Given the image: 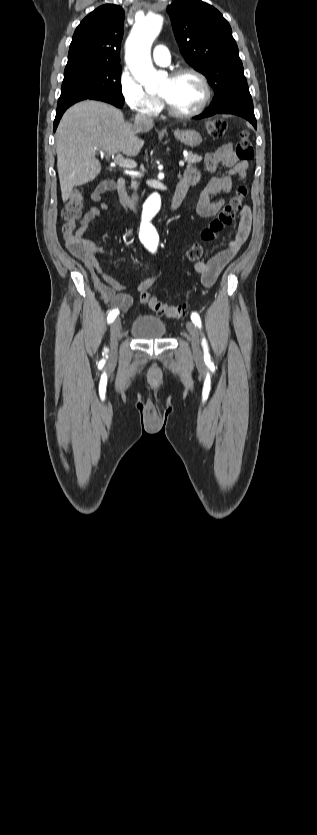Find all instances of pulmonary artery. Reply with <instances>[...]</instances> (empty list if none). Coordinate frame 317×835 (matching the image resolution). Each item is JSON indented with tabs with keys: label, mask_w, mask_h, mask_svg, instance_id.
Listing matches in <instances>:
<instances>
[{
	"label": "pulmonary artery",
	"mask_w": 317,
	"mask_h": 835,
	"mask_svg": "<svg viewBox=\"0 0 317 835\" xmlns=\"http://www.w3.org/2000/svg\"><path fill=\"white\" fill-rule=\"evenodd\" d=\"M153 60L159 65L166 66L171 61V56L168 48L164 45H156L153 49Z\"/></svg>",
	"instance_id": "pulmonary-artery-1"
}]
</instances>
